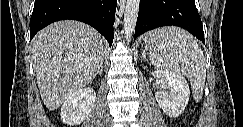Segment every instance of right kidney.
Listing matches in <instances>:
<instances>
[{"label":"right kidney","instance_id":"1","mask_svg":"<svg viewBox=\"0 0 243 127\" xmlns=\"http://www.w3.org/2000/svg\"><path fill=\"white\" fill-rule=\"evenodd\" d=\"M95 100L96 93L92 88L78 90L63 102L61 120L69 126L81 124L91 113Z\"/></svg>","mask_w":243,"mask_h":127}]
</instances>
